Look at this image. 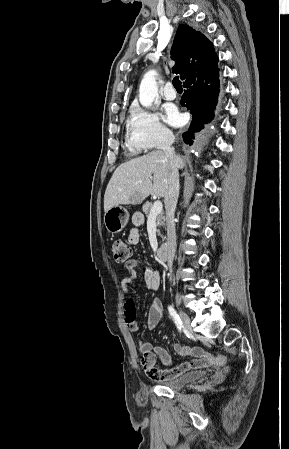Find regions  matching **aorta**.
<instances>
[{"label": "aorta", "mask_w": 289, "mask_h": 449, "mask_svg": "<svg viewBox=\"0 0 289 449\" xmlns=\"http://www.w3.org/2000/svg\"><path fill=\"white\" fill-rule=\"evenodd\" d=\"M156 75L157 72L155 70H150L144 75L140 83L139 101L144 107H150L155 97L158 95Z\"/></svg>", "instance_id": "762f6f07"}]
</instances>
